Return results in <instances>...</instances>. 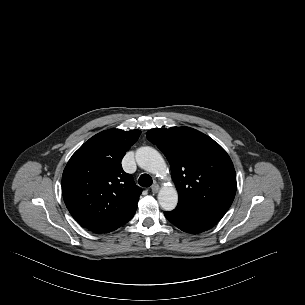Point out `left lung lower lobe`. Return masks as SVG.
I'll use <instances>...</instances> for the list:
<instances>
[{
    "mask_svg": "<svg viewBox=\"0 0 305 305\" xmlns=\"http://www.w3.org/2000/svg\"><path fill=\"white\" fill-rule=\"evenodd\" d=\"M226 211L227 209L223 208L204 210L175 208L171 212H164V215L179 229L188 233H200L217 224Z\"/></svg>",
    "mask_w": 305,
    "mask_h": 305,
    "instance_id": "obj_1",
    "label": "left lung lower lobe"
}]
</instances>
